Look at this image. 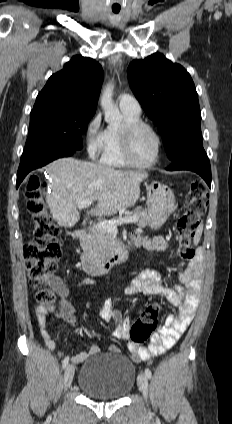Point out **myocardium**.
Masks as SVG:
<instances>
[{"instance_id": "1", "label": "myocardium", "mask_w": 232, "mask_h": 424, "mask_svg": "<svg viewBox=\"0 0 232 424\" xmlns=\"http://www.w3.org/2000/svg\"><path fill=\"white\" fill-rule=\"evenodd\" d=\"M141 129H147L149 130L155 137L157 142V148L154 158L147 162V163H138L132 158L131 154V147H132V140L134 135ZM121 149H122V155L125 160V162L135 168H149L153 165H155L161 155L162 151V139L158 131L149 123H146L144 121L138 120L135 122L126 123L122 126L121 132Z\"/></svg>"}]
</instances>
